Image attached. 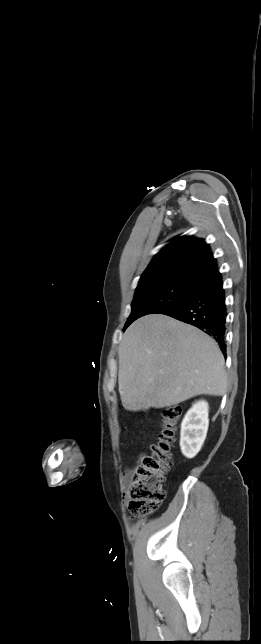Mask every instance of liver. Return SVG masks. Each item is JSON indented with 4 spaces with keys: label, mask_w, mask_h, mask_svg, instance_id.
Segmentation results:
<instances>
[{
    "label": "liver",
    "mask_w": 261,
    "mask_h": 644,
    "mask_svg": "<svg viewBox=\"0 0 261 644\" xmlns=\"http://www.w3.org/2000/svg\"><path fill=\"white\" fill-rule=\"evenodd\" d=\"M217 343L162 314L133 322L119 345V393L128 411L164 408L197 395L223 396L228 381Z\"/></svg>",
    "instance_id": "1"
}]
</instances>
